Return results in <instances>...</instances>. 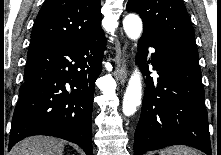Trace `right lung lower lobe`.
<instances>
[{
	"label": "right lung lower lobe",
	"instance_id": "right-lung-lower-lobe-1",
	"mask_svg": "<svg viewBox=\"0 0 221 155\" xmlns=\"http://www.w3.org/2000/svg\"><path fill=\"white\" fill-rule=\"evenodd\" d=\"M104 33L77 41L30 45L8 150L31 135L78 144L92 155L91 115Z\"/></svg>",
	"mask_w": 221,
	"mask_h": 155
}]
</instances>
